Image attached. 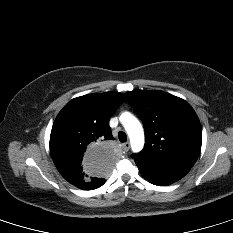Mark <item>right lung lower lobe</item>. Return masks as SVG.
Returning <instances> with one entry per match:
<instances>
[{
    "instance_id": "98d812e1",
    "label": "right lung lower lobe",
    "mask_w": 233,
    "mask_h": 233,
    "mask_svg": "<svg viewBox=\"0 0 233 233\" xmlns=\"http://www.w3.org/2000/svg\"><path fill=\"white\" fill-rule=\"evenodd\" d=\"M105 183V181H100V182H91V181H87L84 183H81L79 185H75L76 187L80 188V189H84V190H93L96 188H99L100 186H102Z\"/></svg>"
}]
</instances>
